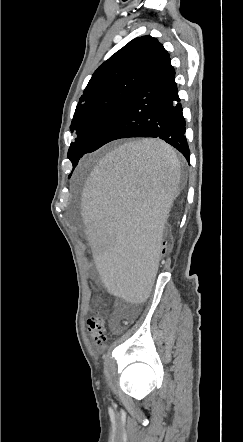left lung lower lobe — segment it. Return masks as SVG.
<instances>
[{
    "mask_svg": "<svg viewBox=\"0 0 243 442\" xmlns=\"http://www.w3.org/2000/svg\"><path fill=\"white\" fill-rule=\"evenodd\" d=\"M170 61L165 51L144 80L117 108L88 153L113 140L152 137L175 147L189 162L185 119Z\"/></svg>",
    "mask_w": 243,
    "mask_h": 442,
    "instance_id": "left-lung-lower-lobe-1",
    "label": "left lung lower lobe"
}]
</instances>
